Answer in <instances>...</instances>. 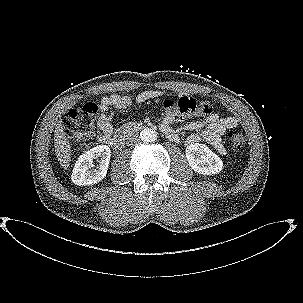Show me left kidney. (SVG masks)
Returning <instances> with one entry per match:
<instances>
[{
  "label": "left kidney",
  "mask_w": 303,
  "mask_h": 303,
  "mask_svg": "<svg viewBox=\"0 0 303 303\" xmlns=\"http://www.w3.org/2000/svg\"><path fill=\"white\" fill-rule=\"evenodd\" d=\"M186 158L191 168L199 174H217L223 169L220 157L204 144L195 143L187 146Z\"/></svg>",
  "instance_id": "1"
}]
</instances>
